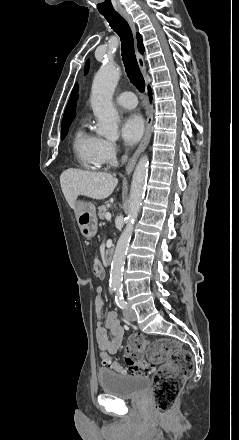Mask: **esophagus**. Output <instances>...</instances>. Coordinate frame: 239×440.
<instances>
[{"label": "esophagus", "instance_id": "obj_1", "mask_svg": "<svg viewBox=\"0 0 239 440\" xmlns=\"http://www.w3.org/2000/svg\"><path fill=\"white\" fill-rule=\"evenodd\" d=\"M119 13L129 23V26L131 27L133 33L135 34L136 33L135 23L133 22L129 13L126 12L125 10L119 11ZM136 56H137V61H138L140 69L142 70L143 73H146L145 62H144L143 56L140 53H138V51H137ZM152 122H153V112L151 111L147 117L146 130H145V134L143 136V139L141 140V143L139 144V146L137 147V149L135 150L132 157L130 158V160L127 163V166H126V173L127 174H129L133 171L140 154L146 149V147L150 141L151 134H152Z\"/></svg>", "mask_w": 239, "mask_h": 440}]
</instances>
